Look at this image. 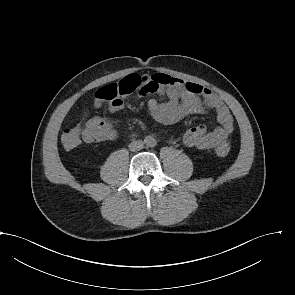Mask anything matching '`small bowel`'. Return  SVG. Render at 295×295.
<instances>
[{
    "label": "small bowel",
    "instance_id": "1",
    "mask_svg": "<svg viewBox=\"0 0 295 295\" xmlns=\"http://www.w3.org/2000/svg\"><path fill=\"white\" fill-rule=\"evenodd\" d=\"M141 81V87L138 89L140 97L156 94L166 99L160 102L151 98L148 101V110L158 122L172 124L192 114H201L207 110L215 111L219 126L208 131L205 125L199 124L186 130L182 135L185 146L208 150L227 141L234 128V119L225 102L212 90L164 73L142 76ZM102 104L103 101L95 97L94 107L100 108ZM123 107L122 100L108 105L112 112ZM94 120V132L85 136L86 142L112 140L116 137V129L112 122L100 117H94Z\"/></svg>",
    "mask_w": 295,
    "mask_h": 295
}]
</instances>
